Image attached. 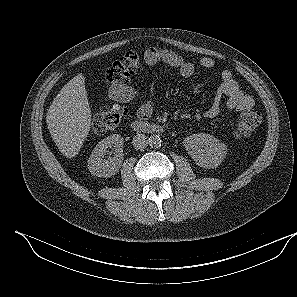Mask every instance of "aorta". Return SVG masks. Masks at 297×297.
<instances>
[{"label": "aorta", "instance_id": "1", "mask_svg": "<svg viewBox=\"0 0 297 297\" xmlns=\"http://www.w3.org/2000/svg\"><path fill=\"white\" fill-rule=\"evenodd\" d=\"M148 144L152 148H159L162 144V139L159 135H151L148 139Z\"/></svg>", "mask_w": 297, "mask_h": 297}]
</instances>
